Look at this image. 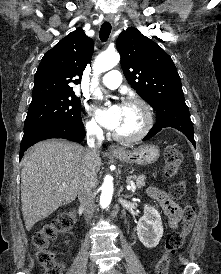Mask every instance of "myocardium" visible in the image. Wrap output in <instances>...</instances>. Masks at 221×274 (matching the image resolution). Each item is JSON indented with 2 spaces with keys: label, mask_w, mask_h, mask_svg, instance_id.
Masks as SVG:
<instances>
[{
  "label": "myocardium",
  "mask_w": 221,
  "mask_h": 274,
  "mask_svg": "<svg viewBox=\"0 0 221 274\" xmlns=\"http://www.w3.org/2000/svg\"><path fill=\"white\" fill-rule=\"evenodd\" d=\"M123 105H131L135 104L138 105L144 115V123L142 128L132 135H122L117 132H113V137L117 141L124 142V143H133L143 139L151 130L153 123H154V116L151 106L142 98L140 97H127L123 100Z\"/></svg>",
  "instance_id": "obj_1"
}]
</instances>
